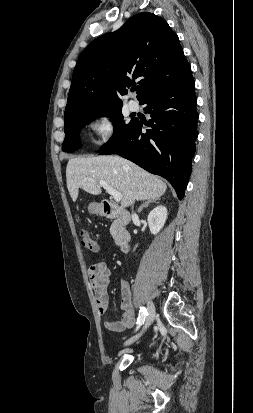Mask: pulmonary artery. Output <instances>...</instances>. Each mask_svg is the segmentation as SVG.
I'll return each mask as SVG.
<instances>
[{
    "instance_id": "e3ab8cb5",
    "label": "pulmonary artery",
    "mask_w": 253,
    "mask_h": 413,
    "mask_svg": "<svg viewBox=\"0 0 253 413\" xmlns=\"http://www.w3.org/2000/svg\"><path fill=\"white\" fill-rule=\"evenodd\" d=\"M128 107L131 111H137L139 109V104L136 100L130 99L128 102Z\"/></svg>"
}]
</instances>
